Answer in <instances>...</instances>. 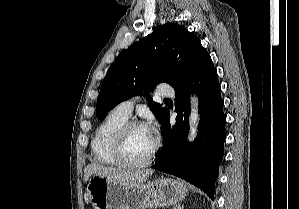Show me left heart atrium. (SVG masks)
<instances>
[{"label":"left heart atrium","mask_w":299,"mask_h":209,"mask_svg":"<svg viewBox=\"0 0 299 209\" xmlns=\"http://www.w3.org/2000/svg\"><path fill=\"white\" fill-rule=\"evenodd\" d=\"M147 129L149 130V132L153 135L154 133V128L152 126L147 127Z\"/></svg>","instance_id":"1"}]
</instances>
